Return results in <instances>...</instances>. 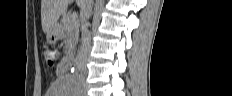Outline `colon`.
<instances>
[{
  "instance_id": "colon-1",
  "label": "colon",
  "mask_w": 232,
  "mask_h": 96,
  "mask_svg": "<svg viewBox=\"0 0 232 96\" xmlns=\"http://www.w3.org/2000/svg\"><path fill=\"white\" fill-rule=\"evenodd\" d=\"M45 56L48 64L53 65L60 60L61 53L56 48H48L45 51Z\"/></svg>"
}]
</instances>
